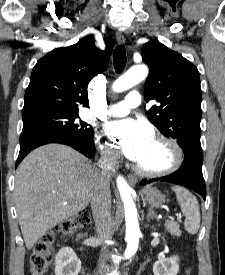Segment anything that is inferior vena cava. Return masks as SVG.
<instances>
[{"label": "inferior vena cava", "instance_id": "inferior-vena-cava-1", "mask_svg": "<svg viewBox=\"0 0 225 275\" xmlns=\"http://www.w3.org/2000/svg\"><path fill=\"white\" fill-rule=\"evenodd\" d=\"M117 162V154L113 150L106 149L99 160L96 179L91 195V208L94 222L98 232V238L105 241L111 238V193L110 177ZM105 250V248L103 249ZM106 256L102 255L99 268L105 267Z\"/></svg>", "mask_w": 225, "mask_h": 275}]
</instances>
